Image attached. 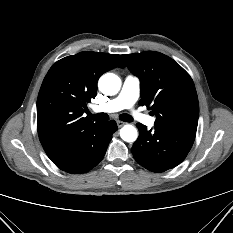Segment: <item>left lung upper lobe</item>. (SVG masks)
Here are the masks:
<instances>
[{
	"label": "left lung upper lobe",
	"mask_w": 233,
	"mask_h": 233,
	"mask_svg": "<svg viewBox=\"0 0 233 233\" xmlns=\"http://www.w3.org/2000/svg\"><path fill=\"white\" fill-rule=\"evenodd\" d=\"M141 82L140 105L156 115L155 126L196 132L199 104L190 75L173 59L155 51L122 55Z\"/></svg>",
	"instance_id": "1"
}]
</instances>
